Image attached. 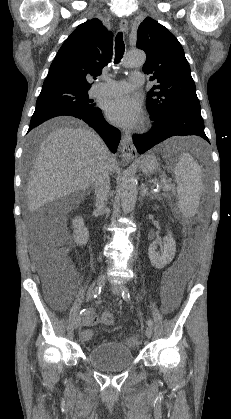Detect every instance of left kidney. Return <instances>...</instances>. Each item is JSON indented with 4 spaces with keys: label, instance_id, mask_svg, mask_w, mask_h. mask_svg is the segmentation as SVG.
I'll use <instances>...</instances> for the list:
<instances>
[{
    "label": "left kidney",
    "instance_id": "5707ae66",
    "mask_svg": "<svg viewBox=\"0 0 231 419\" xmlns=\"http://www.w3.org/2000/svg\"><path fill=\"white\" fill-rule=\"evenodd\" d=\"M157 244L163 245L161 254L156 251ZM175 252L176 242L170 231L163 239L152 242L148 249L151 264L157 269H161L169 264L174 259Z\"/></svg>",
    "mask_w": 231,
    "mask_h": 419
}]
</instances>
